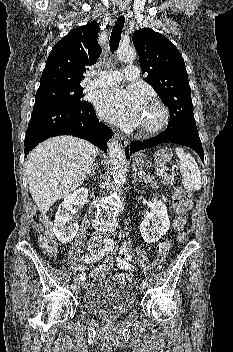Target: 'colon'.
<instances>
[{"instance_id":"obj_1","label":"colon","mask_w":233,"mask_h":352,"mask_svg":"<svg viewBox=\"0 0 233 352\" xmlns=\"http://www.w3.org/2000/svg\"><path fill=\"white\" fill-rule=\"evenodd\" d=\"M170 160V155L167 152H160L157 155V167L159 173L166 182L172 183L173 177L168 173L167 163ZM192 206V196L189 191L177 186L173 192V209L175 217L173 226L176 231L183 230L187 225V214ZM41 247L49 254H54L56 251V242L54 241L52 230L49 226L46 227V232L40 240ZM171 244L168 240H162L157 247V255L153 261L155 269H161L166 256L170 251ZM111 267V260L96 265L91 271V278L98 279L104 276Z\"/></svg>"}]
</instances>
